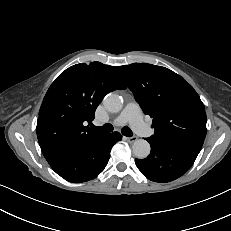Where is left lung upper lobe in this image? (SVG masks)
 <instances>
[{"mask_svg":"<svg viewBox=\"0 0 231 231\" xmlns=\"http://www.w3.org/2000/svg\"><path fill=\"white\" fill-rule=\"evenodd\" d=\"M119 74L143 112L153 118L150 139L202 147L205 107L189 83L165 67L146 63L119 66Z\"/></svg>","mask_w":231,"mask_h":231,"instance_id":"left-lung-upper-lobe-1","label":"left lung upper lobe"}]
</instances>
